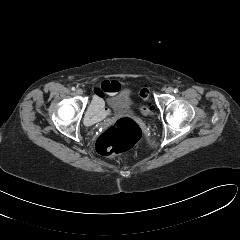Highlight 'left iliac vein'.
Instances as JSON below:
<instances>
[{
    "instance_id": "4c4485c4",
    "label": "left iliac vein",
    "mask_w": 240,
    "mask_h": 240,
    "mask_svg": "<svg viewBox=\"0 0 240 240\" xmlns=\"http://www.w3.org/2000/svg\"><path fill=\"white\" fill-rule=\"evenodd\" d=\"M167 94H172L173 93V88L168 87L165 91Z\"/></svg>"
}]
</instances>
